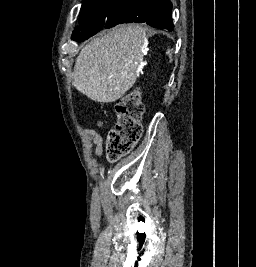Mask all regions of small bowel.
<instances>
[{
  "label": "small bowel",
  "mask_w": 256,
  "mask_h": 267,
  "mask_svg": "<svg viewBox=\"0 0 256 267\" xmlns=\"http://www.w3.org/2000/svg\"><path fill=\"white\" fill-rule=\"evenodd\" d=\"M92 139L94 141V143L96 144L97 148H96V155H97V158L100 159L102 157V149H101V146H102V139L101 137L96 134V133H93L92 134Z\"/></svg>",
  "instance_id": "1"
}]
</instances>
